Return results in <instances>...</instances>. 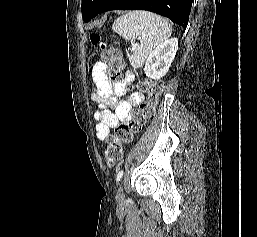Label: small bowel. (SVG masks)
Here are the masks:
<instances>
[{
	"instance_id": "obj_1",
	"label": "small bowel",
	"mask_w": 257,
	"mask_h": 237,
	"mask_svg": "<svg viewBox=\"0 0 257 237\" xmlns=\"http://www.w3.org/2000/svg\"><path fill=\"white\" fill-rule=\"evenodd\" d=\"M107 65L96 62L92 68V79L95 91L91 97L96 102L99 110L95 113L96 135L101 141L105 140L110 130L120 122L128 121L132 117L133 108L144 100L141 92L132 93L127 99L119 100L126 92L127 83L133 80V74L128 73L124 81L112 83L107 76Z\"/></svg>"
}]
</instances>
